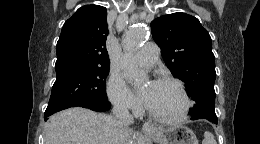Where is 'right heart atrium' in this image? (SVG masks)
<instances>
[{
	"label": "right heart atrium",
	"instance_id": "obj_1",
	"mask_svg": "<svg viewBox=\"0 0 260 144\" xmlns=\"http://www.w3.org/2000/svg\"><path fill=\"white\" fill-rule=\"evenodd\" d=\"M106 89L109 100L117 108L125 111L138 110L139 101L127 85L123 76L119 74L110 75Z\"/></svg>",
	"mask_w": 260,
	"mask_h": 144
}]
</instances>
